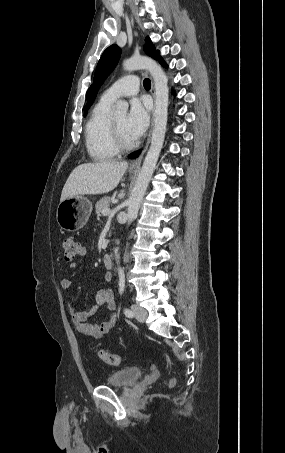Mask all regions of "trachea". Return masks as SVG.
<instances>
[{
  "mask_svg": "<svg viewBox=\"0 0 285 453\" xmlns=\"http://www.w3.org/2000/svg\"><path fill=\"white\" fill-rule=\"evenodd\" d=\"M143 86H144L145 88H150V87H151L150 79H148V78L144 79V81H143Z\"/></svg>",
  "mask_w": 285,
  "mask_h": 453,
  "instance_id": "1",
  "label": "trachea"
}]
</instances>
